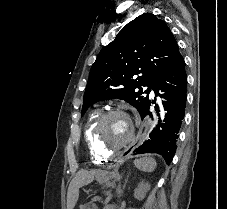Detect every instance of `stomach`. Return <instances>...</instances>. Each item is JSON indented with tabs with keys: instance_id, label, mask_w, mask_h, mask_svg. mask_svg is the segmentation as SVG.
I'll list each match as a JSON object with an SVG mask.
<instances>
[{
	"instance_id": "obj_1",
	"label": "stomach",
	"mask_w": 227,
	"mask_h": 209,
	"mask_svg": "<svg viewBox=\"0 0 227 209\" xmlns=\"http://www.w3.org/2000/svg\"><path fill=\"white\" fill-rule=\"evenodd\" d=\"M97 180L100 183H105V182H107L109 180V177H108V175L99 174L97 176Z\"/></svg>"
}]
</instances>
